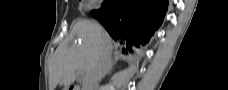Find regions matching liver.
Returning <instances> with one entry per match:
<instances>
[{"instance_id":"1","label":"liver","mask_w":228,"mask_h":90,"mask_svg":"<svg viewBox=\"0 0 228 90\" xmlns=\"http://www.w3.org/2000/svg\"><path fill=\"white\" fill-rule=\"evenodd\" d=\"M74 37L80 42H73ZM112 50L110 36L98 23L78 20L69 37L59 45L50 61L49 90H55L57 85L68 90L76 80V71L82 70L86 77L99 56L103 52L111 56Z\"/></svg>"}]
</instances>
